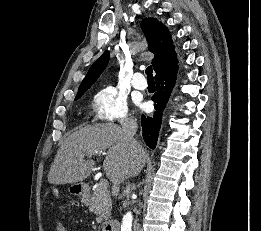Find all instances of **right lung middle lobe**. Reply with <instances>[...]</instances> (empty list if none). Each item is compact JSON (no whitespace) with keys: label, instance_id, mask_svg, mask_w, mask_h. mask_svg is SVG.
Wrapping results in <instances>:
<instances>
[{"label":"right lung middle lobe","instance_id":"1","mask_svg":"<svg viewBox=\"0 0 261 231\" xmlns=\"http://www.w3.org/2000/svg\"><path fill=\"white\" fill-rule=\"evenodd\" d=\"M83 94H84V92L77 93L75 100H77L78 98H80Z\"/></svg>","mask_w":261,"mask_h":231}]
</instances>
